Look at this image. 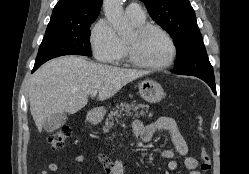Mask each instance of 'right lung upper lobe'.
<instances>
[{"instance_id":"obj_1","label":"right lung upper lobe","mask_w":249,"mask_h":174,"mask_svg":"<svg viewBox=\"0 0 249 174\" xmlns=\"http://www.w3.org/2000/svg\"><path fill=\"white\" fill-rule=\"evenodd\" d=\"M102 0H60L53 9L46 31L78 26L95 20Z\"/></svg>"}]
</instances>
